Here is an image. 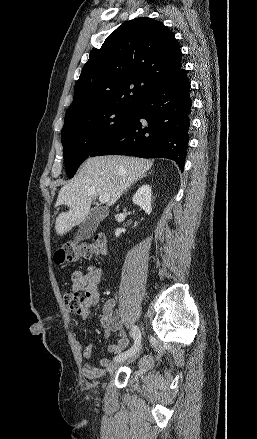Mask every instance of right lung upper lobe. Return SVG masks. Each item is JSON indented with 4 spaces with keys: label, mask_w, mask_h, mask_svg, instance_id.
<instances>
[{
    "label": "right lung upper lobe",
    "mask_w": 257,
    "mask_h": 439,
    "mask_svg": "<svg viewBox=\"0 0 257 439\" xmlns=\"http://www.w3.org/2000/svg\"><path fill=\"white\" fill-rule=\"evenodd\" d=\"M182 69L181 50L163 23L135 18L94 49L74 89L65 120L105 107L137 108Z\"/></svg>",
    "instance_id": "1"
}]
</instances>
